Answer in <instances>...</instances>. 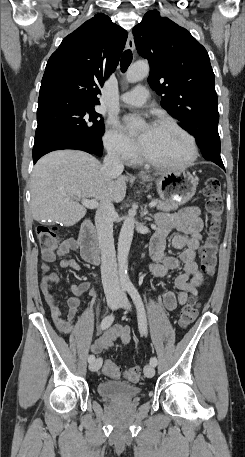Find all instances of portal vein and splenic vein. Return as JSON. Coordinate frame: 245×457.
Listing matches in <instances>:
<instances>
[{"instance_id":"obj_1","label":"portal vein and splenic vein","mask_w":245,"mask_h":457,"mask_svg":"<svg viewBox=\"0 0 245 457\" xmlns=\"http://www.w3.org/2000/svg\"><path fill=\"white\" fill-rule=\"evenodd\" d=\"M82 204H84V206H87V208H97V206H99V202H97V200H95V198H82ZM155 204H157V202H155V200H151V202H149V206H155Z\"/></svg>"}]
</instances>
